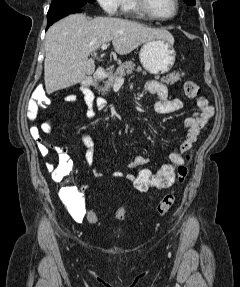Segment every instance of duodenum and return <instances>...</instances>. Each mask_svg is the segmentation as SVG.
<instances>
[{
  "instance_id": "410a0bca",
  "label": "duodenum",
  "mask_w": 240,
  "mask_h": 287,
  "mask_svg": "<svg viewBox=\"0 0 240 287\" xmlns=\"http://www.w3.org/2000/svg\"><path fill=\"white\" fill-rule=\"evenodd\" d=\"M105 76V68L100 66L96 69L92 77L88 78L82 85L83 89H89L92 83L96 80L102 79Z\"/></svg>"
}]
</instances>
